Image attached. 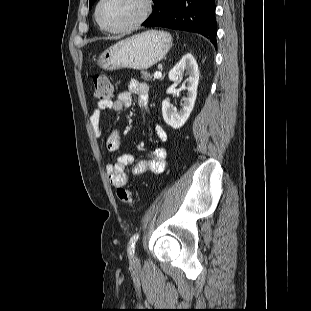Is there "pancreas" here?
Here are the masks:
<instances>
[{
    "mask_svg": "<svg viewBox=\"0 0 311 311\" xmlns=\"http://www.w3.org/2000/svg\"><path fill=\"white\" fill-rule=\"evenodd\" d=\"M141 77L146 80V81H151L152 76L150 75V73H148L147 71H142L141 72Z\"/></svg>",
    "mask_w": 311,
    "mask_h": 311,
    "instance_id": "cf45deb5",
    "label": "pancreas"
}]
</instances>
